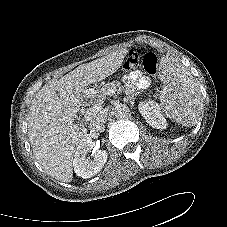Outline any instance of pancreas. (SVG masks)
<instances>
[{
    "mask_svg": "<svg viewBox=\"0 0 227 227\" xmlns=\"http://www.w3.org/2000/svg\"><path fill=\"white\" fill-rule=\"evenodd\" d=\"M111 91V92H110ZM122 88L120 86V82L113 81L105 84L99 90H90L87 93V98L91 100L92 103H99L102 99H104L107 95H110L117 92L121 93Z\"/></svg>",
    "mask_w": 227,
    "mask_h": 227,
    "instance_id": "cf45deb5",
    "label": "pancreas"
}]
</instances>
